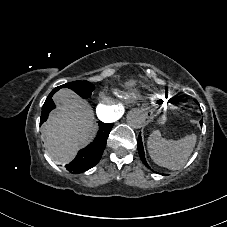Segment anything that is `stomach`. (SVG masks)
<instances>
[{
    "mask_svg": "<svg viewBox=\"0 0 227 227\" xmlns=\"http://www.w3.org/2000/svg\"><path fill=\"white\" fill-rule=\"evenodd\" d=\"M165 121H166V117H165V115H163V116L160 118L159 122L163 124V123H165Z\"/></svg>",
    "mask_w": 227,
    "mask_h": 227,
    "instance_id": "obj_1",
    "label": "stomach"
}]
</instances>
